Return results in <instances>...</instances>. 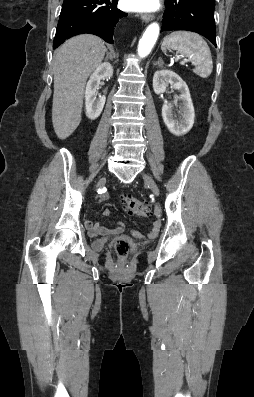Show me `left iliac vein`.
Returning a JSON list of instances; mask_svg holds the SVG:
<instances>
[{
  "label": "left iliac vein",
  "mask_w": 254,
  "mask_h": 397,
  "mask_svg": "<svg viewBox=\"0 0 254 397\" xmlns=\"http://www.w3.org/2000/svg\"><path fill=\"white\" fill-rule=\"evenodd\" d=\"M144 181H145V183L148 185V187L152 190V192L155 195L158 196L160 194L159 188L156 185V183L154 182V180L152 179V177H150L149 175L145 174L144 175Z\"/></svg>",
  "instance_id": "4c4485c4"
}]
</instances>
